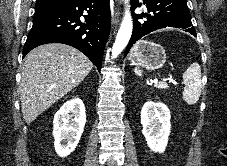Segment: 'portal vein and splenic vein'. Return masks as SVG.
Wrapping results in <instances>:
<instances>
[{
  "instance_id": "1",
  "label": "portal vein and splenic vein",
  "mask_w": 227,
  "mask_h": 166,
  "mask_svg": "<svg viewBox=\"0 0 227 166\" xmlns=\"http://www.w3.org/2000/svg\"><path fill=\"white\" fill-rule=\"evenodd\" d=\"M157 79L154 80V83H157ZM163 81H168L169 83H172L174 85H177L178 83L176 81H174L172 78H166ZM163 85L167 86L166 84L162 83Z\"/></svg>"
}]
</instances>
